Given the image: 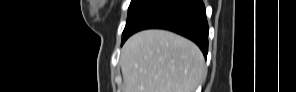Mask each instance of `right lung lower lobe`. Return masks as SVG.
<instances>
[{"mask_svg": "<svg viewBox=\"0 0 296 92\" xmlns=\"http://www.w3.org/2000/svg\"><path fill=\"white\" fill-rule=\"evenodd\" d=\"M148 28L166 29L187 37L207 57L209 27L202 0H154L122 38V44L133 33Z\"/></svg>", "mask_w": 296, "mask_h": 92, "instance_id": "obj_1", "label": "right lung lower lobe"}]
</instances>
